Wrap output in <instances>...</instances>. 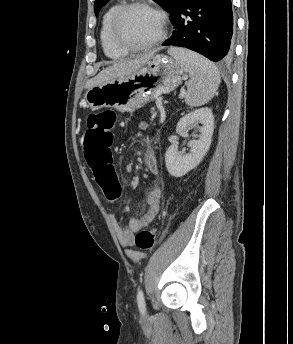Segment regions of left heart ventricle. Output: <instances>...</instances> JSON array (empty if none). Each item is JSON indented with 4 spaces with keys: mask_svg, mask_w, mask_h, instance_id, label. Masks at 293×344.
Masks as SVG:
<instances>
[{
    "mask_svg": "<svg viewBox=\"0 0 293 344\" xmlns=\"http://www.w3.org/2000/svg\"><path fill=\"white\" fill-rule=\"evenodd\" d=\"M159 18L143 8L128 11L121 22V34L132 44H144L158 36Z\"/></svg>",
    "mask_w": 293,
    "mask_h": 344,
    "instance_id": "1",
    "label": "left heart ventricle"
}]
</instances>
